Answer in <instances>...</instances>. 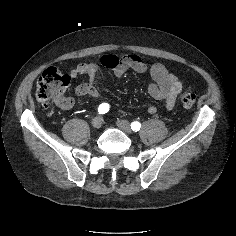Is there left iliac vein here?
Wrapping results in <instances>:
<instances>
[{"mask_svg": "<svg viewBox=\"0 0 236 236\" xmlns=\"http://www.w3.org/2000/svg\"><path fill=\"white\" fill-rule=\"evenodd\" d=\"M117 126L124 132L131 134L132 130L130 128V123L127 120H118Z\"/></svg>", "mask_w": 236, "mask_h": 236, "instance_id": "1", "label": "left iliac vein"}]
</instances>
